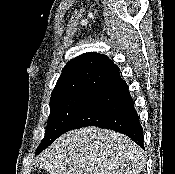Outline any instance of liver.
Returning a JSON list of instances; mask_svg holds the SVG:
<instances>
[{"mask_svg":"<svg viewBox=\"0 0 175 174\" xmlns=\"http://www.w3.org/2000/svg\"><path fill=\"white\" fill-rule=\"evenodd\" d=\"M144 151L129 137L89 126L60 136L42 154L49 174H139Z\"/></svg>","mask_w":175,"mask_h":174,"instance_id":"6515ba94","label":"liver"}]
</instances>
